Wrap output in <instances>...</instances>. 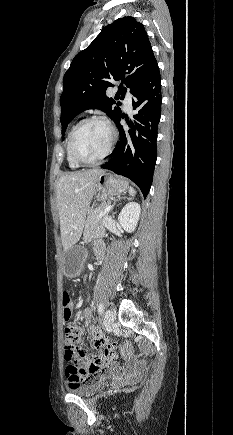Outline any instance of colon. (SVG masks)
Wrapping results in <instances>:
<instances>
[{"mask_svg":"<svg viewBox=\"0 0 233 435\" xmlns=\"http://www.w3.org/2000/svg\"><path fill=\"white\" fill-rule=\"evenodd\" d=\"M62 306H63V316L65 319L69 320L72 316V301L67 291H64L62 294ZM64 336H65V361L70 365L74 367L80 366V349L77 345L79 341L80 332L79 329L72 325L68 324L64 328ZM126 344L120 345V348H125ZM116 349L115 344H108L105 353H111ZM102 355L95 356L93 362L90 364V366L87 369V373L92 374L96 373L100 370V368L103 365V362L101 360Z\"/></svg>","mask_w":233,"mask_h":435,"instance_id":"5ec220e1","label":"colon"}]
</instances>
